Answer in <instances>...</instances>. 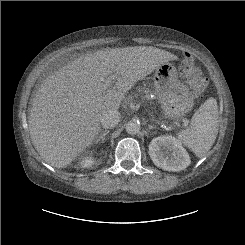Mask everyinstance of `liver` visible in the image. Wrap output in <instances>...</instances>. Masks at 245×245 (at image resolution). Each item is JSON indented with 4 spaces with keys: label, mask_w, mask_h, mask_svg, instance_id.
<instances>
[{
    "label": "liver",
    "mask_w": 245,
    "mask_h": 245,
    "mask_svg": "<svg viewBox=\"0 0 245 245\" xmlns=\"http://www.w3.org/2000/svg\"><path fill=\"white\" fill-rule=\"evenodd\" d=\"M176 59L152 46L110 48L80 56L49 75L28 116L38 154L53 167H67L95 141L105 111L118 110L136 82Z\"/></svg>",
    "instance_id": "1"
}]
</instances>
